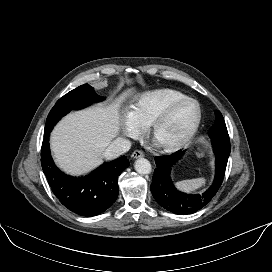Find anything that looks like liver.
Masks as SVG:
<instances>
[{
    "label": "liver",
    "instance_id": "liver-1",
    "mask_svg": "<svg viewBox=\"0 0 272 272\" xmlns=\"http://www.w3.org/2000/svg\"><path fill=\"white\" fill-rule=\"evenodd\" d=\"M98 104L66 115L51 134L55 162L66 173L83 175L96 168L120 131L119 103Z\"/></svg>",
    "mask_w": 272,
    "mask_h": 272
}]
</instances>
